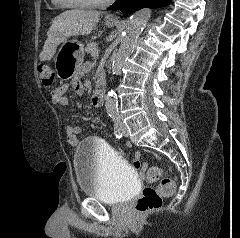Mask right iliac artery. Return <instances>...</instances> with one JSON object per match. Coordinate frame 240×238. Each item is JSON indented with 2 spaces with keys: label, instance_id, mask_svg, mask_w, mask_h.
Masks as SVG:
<instances>
[{
  "label": "right iliac artery",
  "instance_id": "obj_1",
  "mask_svg": "<svg viewBox=\"0 0 240 238\" xmlns=\"http://www.w3.org/2000/svg\"><path fill=\"white\" fill-rule=\"evenodd\" d=\"M113 121H114V134L116 138L120 139L123 135L120 119L119 117H113Z\"/></svg>",
  "mask_w": 240,
  "mask_h": 238
}]
</instances>
